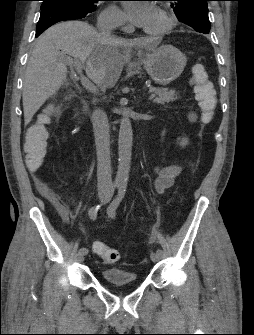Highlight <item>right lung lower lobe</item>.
Instances as JSON below:
<instances>
[{
    "instance_id": "right-lung-lower-lobe-1",
    "label": "right lung lower lobe",
    "mask_w": 254,
    "mask_h": 335,
    "mask_svg": "<svg viewBox=\"0 0 254 335\" xmlns=\"http://www.w3.org/2000/svg\"><path fill=\"white\" fill-rule=\"evenodd\" d=\"M86 14L74 11L66 7H49L41 10L40 19L36 26V37H38L43 31H45L51 25L65 20L81 19Z\"/></svg>"
}]
</instances>
